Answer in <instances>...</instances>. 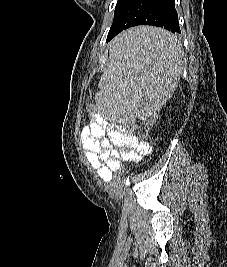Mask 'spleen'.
Listing matches in <instances>:
<instances>
[{
    "label": "spleen",
    "mask_w": 227,
    "mask_h": 267,
    "mask_svg": "<svg viewBox=\"0 0 227 267\" xmlns=\"http://www.w3.org/2000/svg\"><path fill=\"white\" fill-rule=\"evenodd\" d=\"M110 63L103 67L96 100L101 115H155L158 106L130 104H164L177 87L183 70L181 43L159 25H136L124 29L108 46ZM106 125L120 121H143V116H104Z\"/></svg>",
    "instance_id": "3e777b00"
}]
</instances>
